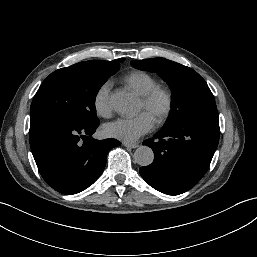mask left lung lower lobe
Listing matches in <instances>:
<instances>
[{"label":"left lung lower lobe","instance_id":"1","mask_svg":"<svg viewBox=\"0 0 257 257\" xmlns=\"http://www.w3.org/2000/svg\"><path fill=\"white\" fill-rule=\"evenodd\" d=\"M216 108L207 109L163 128L143 142L154 151L152 164L141 167L143 179L154 189L178 195L204 176L219 141Z\"/></svg>","mask_w":257,"mask_h":257}]
</instances>
